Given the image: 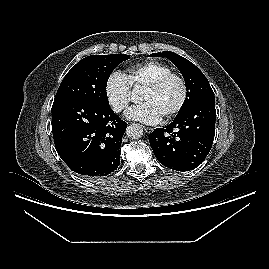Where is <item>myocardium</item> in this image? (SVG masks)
I'll return each instance as SVG.
<instances>
[{
	"mask_svg": "<svg viewBox=\"0 0 269 269\" xmlns=\"http://www.w3.org/2000/svg\"><path fill=\"white\" fill-rule=\"evenodd\" d=\"M173 78L179 80L182 86V95L177 105L162 118L163 121H168L175 117L185 106L189 95V87L186 78L180 73L170 72L160 76L155 81L145 87V89L149 91L156 92L160 90L170 79Z\"/></svg>",
	"mask_w": 269,
	"mask_h": 269,
	"instance_id": "f54148a6",
	"label": "myocardium"
}]
</instances>
